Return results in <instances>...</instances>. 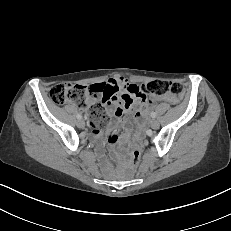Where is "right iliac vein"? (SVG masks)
<instances>
[{"label": "right iliac vein", "mask_w": 231, "mask_h": 231, "mask_svg": "<svg viewBox=\"0 0 231 231\" xmlns=\"http://www.w3.org/2000/svg\"><path fill=\"white\" fill-rule=\"evenodd\" d=\"M77 126H78L79 128H84V127H85V122H84L82 119H79V120L77 121Z\"/></svg>", "instance_id": "63e3f726"}]
</instances>
